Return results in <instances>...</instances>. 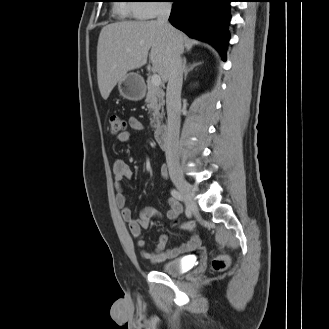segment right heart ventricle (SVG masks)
<instances>
[{"label":"right heart ventricle","mask_w":329,"mask_h":329,"mask_svg":"<svg viewBox=\"0 0 329 329\" xmlns=\"http://www.w3.org/2000/svg\"><path fill=\"white\" fill-rule=\"evenodd\" d=\"M129 1H124V3H119L116 5V10L122 15L127 16L133 14L134 4L126 3Z\"/></svg>","instance_id":"obj_1"}]
</instances>
